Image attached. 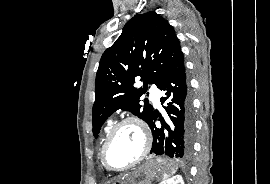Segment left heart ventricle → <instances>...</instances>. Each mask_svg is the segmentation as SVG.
Here are the masks:
<instances>
[{"label": "left heart ventricle", "mask_w": 270, "mask_h": 184, "mask_svg": "<svg viewBox=\"0 0 270 184\" xmlns=\"http://www.w3.org/2000/svg\"><path fill=\"white\" fill-rule=\"evenodd\" d=\"M143 137L137 126L126 124L116 134L108 153L107 161L115 168H121L133 162L142 152Z\"/></svg>", "instance_id": "1"}]
</instances>
